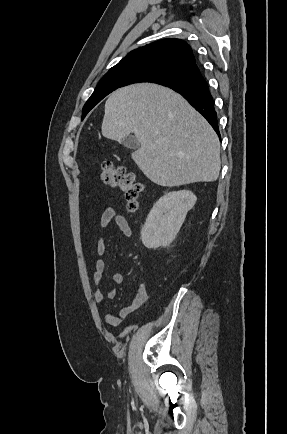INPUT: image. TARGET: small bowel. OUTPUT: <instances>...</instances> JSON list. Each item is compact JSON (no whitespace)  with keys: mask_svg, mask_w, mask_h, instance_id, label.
I'll use <instances>...</instances> for the list:
<instances>
[{"mask_svg":"<svg viewBox=\"0 0 287 434\" xmlns=\"http://www.w3.org/2000/svg\"><path fill=\"white\" fill-rule=\"evenodd\" d=\"M114 223L122 234L126 237H131L132 231L127 217L123 213H118L112 207L106 208L98 219V224L101 229L106 230ZM105 252V241L100 240L96 244V253L99 256L95 261V270L93 272V282L95 284L94 299L98 304H103L105 302V295L102 291L101 284L104 272L106 270V262L102 258ZM124 280V274L122 272H114L111 275V281L114 284H121ZM117 295V290L111 288L108 291V298L113 299ZM148 299L147 291L144 284H140L136 290L135 296L130 305L123 307L119 315H114L108 311L104 312L105 321L112 327L120 326L122 319L129 317L140 309Z\"/></svg>","mask_w":287,"mask_h":434,"instance_id":"small-bowel-1","label":"small bowel"}]
</instances>
